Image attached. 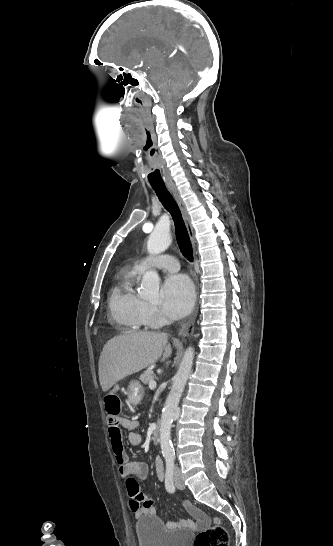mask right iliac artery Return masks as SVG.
<instances>
[{"instance_id": "1", "label": "right iliac artery", "mask_w": 333, "mask_h": 546, "mask_svg": "<svg viewBox=\"0 0 333 546\" xmlns=\"http://www.w3.org/2000/svg\"><path fill=\"white\" fill-rule=\"evenodd\" d=\"M173 474H174V458H166V473H165V487L169 493L175 492V487L173 483Z\"/></svg>"}]
</instances>
